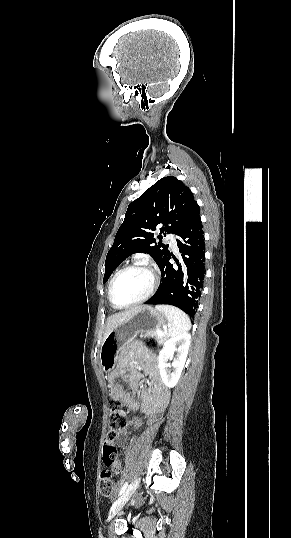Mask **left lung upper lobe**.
Masks as SVG:
<instances>
[{
	"instance_id": "5c2ea615",
	"label": "left lung upper lobe",
	"mask_w": 291,
	"mask_h": 538,
	"mask_svg": "<svg viewBox=\"0 0 291 538\" xmlns=\"http://www.w3.org/2000/svg\"><path fill=\"white\" fill-rule=\"evenodd\" d=\"M197 209L199 206L193 193L182 181L173 176L158 180L141 197L129 204L124 222L107 253L103 282L133 253L150 254L160 267L169 253L168 245L161 242L157 244L153 231L162 225L160 233L164 236L165 232L175 233ZM157 238L161 239L162 236Z\"/></svg>"
}]
</instances>
